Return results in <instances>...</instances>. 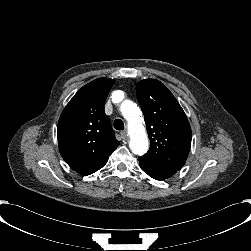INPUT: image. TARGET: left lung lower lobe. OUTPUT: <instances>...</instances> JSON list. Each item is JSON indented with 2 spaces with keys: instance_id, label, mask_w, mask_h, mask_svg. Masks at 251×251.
<instances>
[{
  "instance_id": "1",
  "label": "left lung lower lobe",
  "mask_w": 251,
  "mask_h": 251,
  "mask_svg": "<svg viewBox=\"0 0 251 251\" xmlns=\"http://www.w3.org/2000/svg\"><path fill=\"white\" fill-rule=\"evenodd\" d=\"M139 164L144 172L156 180L167 179L177 172V170L162 166L144 156L139 158Z\"/></svg>"
}]
</instances>
